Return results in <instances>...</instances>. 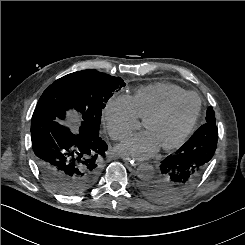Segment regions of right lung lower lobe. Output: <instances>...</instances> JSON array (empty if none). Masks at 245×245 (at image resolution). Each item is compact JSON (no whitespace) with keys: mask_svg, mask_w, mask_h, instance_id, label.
Segmentation results:
<instances>
[{"mask_svg":"<svg viewBox=\"0 0 245 245\" xmlns=\"http://www.w3.org/2000/svg\"><path fill=\"white\" fill-rule=\"evenodd\" d=\"M31 139L39 171L57 192L78 195L96 183L108 148L99 136L73 134L50 110L37 107L32 116Z\"/></svg>","mask_w":245,"mask_h":245,"instance_id":"98d812e1","label":"right lung lower lobe"}]
</instances>
